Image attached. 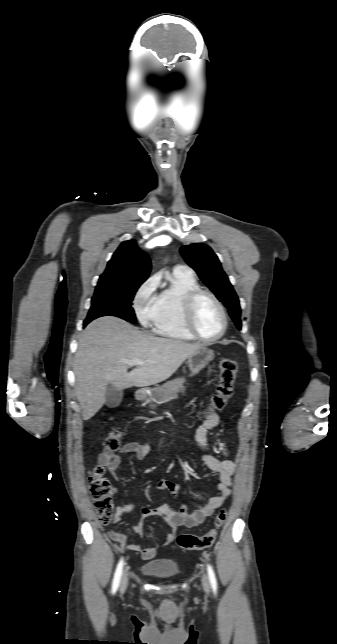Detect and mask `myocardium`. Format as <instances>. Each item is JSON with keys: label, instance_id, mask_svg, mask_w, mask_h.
Wrapping results in <instances>:
<instances>
[{"label": "myocardium", "instance_id": "1", "mask_svg": "<svg viewBox=\"0 0 337 644\" xmlns=\"http://www.w3.org/2000/svg\"><path fill=\"white\" fill-rule=\"evenodd\" d=\"M203 296L211 298L215 304L218 306L221 316H222V328L220 332L213 338H205L199 334L195 326V310L199 299ZM183 323L186 330L190 335L201 342L204 343H214L221 339L226 333L228 327V315L226 308L222 301L211 291L203 288H196L190 291L184 299L183 309H182Z\"/></svg>", "mask_w": 337, "mask_h": 644}]
</instances>
